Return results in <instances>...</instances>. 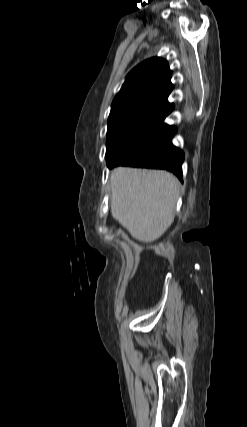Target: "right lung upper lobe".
Listing matches in <instances>:
<instances>
[{
	"label": "right lung upper lobe",
	"instance_id": "cb5924a9",
	"mask_svg": "<svg viewBox=\"0 0 247 427\" xmlns=\"http://www.w3.org/2000/svg\"><path fill=\"white\" fill-rule=\"evenodd\" d=\"M166 60L155 57L143 61L129 72L115 96L110 114L124 111H143L151 114L168 104L173 86Z\"/></svg>",
	"mask_w": 247,
	"mask_h": 427
}]
</instances>
